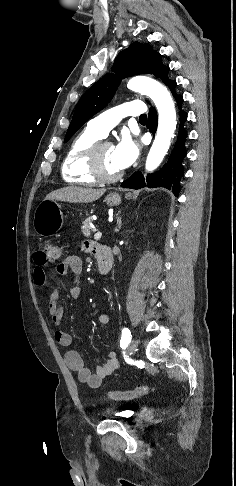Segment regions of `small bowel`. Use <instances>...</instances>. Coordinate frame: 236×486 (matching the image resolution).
Instances as JSON below:
<instances>
[{
  "mask_svg": "<svg viewBox=\"0 0 236 486\" xmlns=\"http://www.w3.org/2000/svg\"><path fill=\"white\" fill-rule=\"evenodd\" d=\"M95 246L96 244L94 242L86 241L83 244V250L88 253H95ZM68 269L75 276L74 284L68 288V294L72 298H78L81 293L79 277L83 269L82 259L79 256L70 255L56 267L59 275L66 274ZM33 278L36 285L40 287L47 286L46 261L43 259L41 252L35 256ZM47 310L52 325L58 327L62 320V306L59 301L58 288H55L50 293ZM98 320L100 324L107 325L110 318L106 313H102L99 315ZM54 336L61 346L68 347L72 344V336L65 330L57 329ZM64 360L68 368L77 373L79 381L87 384L91 388H99L103 384L104 379L113 374L119 367V361L114 351L106 354L104 363L97 365L94 372H91L85 366L82 356L76 350H67L64 354Z\"/></svg>",
  "mask_w": 236,
  "mask_h": 486,
  "instance_id": "small-bowel-1",
  "label": "small bowel"
}]
</instances>
